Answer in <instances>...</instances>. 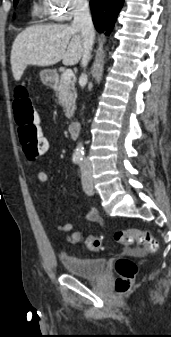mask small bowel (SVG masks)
<instances>
[{
    "label": "small bowel",
    "instance_id": "c3829d8e",
    "mask_svg": "<svg viewBox=\"0 0 171 337\" xmlns=\"http://www.w3.org/2000/svg\"><path fill=\"white\" fill-rule=\"evenodd\" d=\"M48 144H49V142H48ZM45 152H48V151H45ZM37 178H38L39 182H41L43 184L47 183L48 179H49L48 174L43 170L38 172ZM77 218H85L86 220L91 221V222H95V223H101L102 222V219H101L99 213L97 212L96 209H93V208L87 210L85 213L78 214ZM56 228L60 232H70L73 229V224L72 223L57 224Z\"/></svg>",
    "mask_w": 171,
    "mask_h": 337
}]
</instances>
